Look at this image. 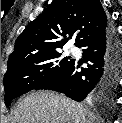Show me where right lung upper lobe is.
Returning a JSON list of instances; mask_svg holds the SVG:
<instances>
[{
  "label": "right lung upper lobe",
  "instance_id": "cb5924a9",
  "mask_svg": "<svg viewBox=\"0 0 122 123\" xmlns=\"http://www.w3.org/2000/svg\"><path fill=\"white\" fill-rule=\"evenodd\" d=\"M107 25L99 0H53L15 42L8 66L25 58L59 51L77 30L76 46Z\"/></svg>",
  "mask_w": 122,
  "mask_h": 123
}]
</instances>
